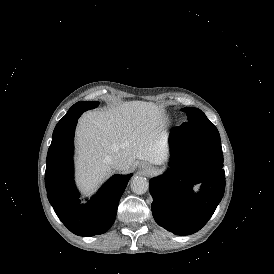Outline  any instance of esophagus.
I'll return each instance as SVG.
<instances>
[{"mask_svg": "<svg viewBox=\"0 0 274 274\" xmlns=\"http://www.w3.org/2000/svg\"><path fill=\"white\" fill-rule=\"evenodd\" d=\"M148 166H149L148 162H145V161H141L138 165L139 169L141 170L148 168Z\"/></svg>", "mask_w": 274, "mask_h": 274, "instance_id": "34e87169", "label": "esophagus"}]
</instances>
